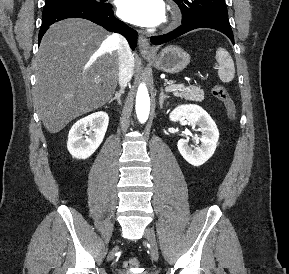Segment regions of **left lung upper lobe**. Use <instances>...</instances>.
Wrapping results in <instances>:
<instances>
[{
	"mask_svg": "<svg viewBox=\"0 0 289 274\" xmlns=\"http://www.w3.org/2000/svg\"><path fill=\"white\" fill-rule=\"evenodd\" d=\"M182 12V23L203 15L228 16L225 0H174Z\"/></svg>",
	"mask_w": 289,
	"mask_h": 274,
	"instance_id": "left-lung-upper-lobe-1",
	"label": "left lung upper lobe"
}]
</instances>
